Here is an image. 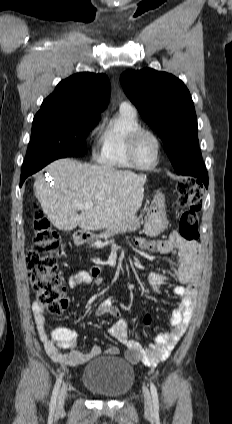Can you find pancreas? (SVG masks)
<instances>
[{"label":"pancreas","instance_id":"pancreas-1","mask_svg":"<svg viewBox=\"0 0 232 424\" xmlns=\"http://www.w3.org/2000/svg\"><path fill=\"white\" fill-rule=\"evenodd\" d=\"M141 222L138 217L135 215L126 217L122 221L118 222L114 226L107 228V230L103 233L99 234L100 238L109 239L115 234H119L125 231H135L140 228Z\"/></svg>","mask_w":232,"mask_h":424}]
</instances>
